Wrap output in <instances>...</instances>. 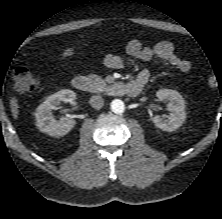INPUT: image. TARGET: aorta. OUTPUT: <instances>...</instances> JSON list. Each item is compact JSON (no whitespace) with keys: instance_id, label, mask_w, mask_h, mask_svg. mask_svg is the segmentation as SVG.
<instances>
[{"instance_id":"1","label":"aorta","mask_w":222,"mask_h":219,"mask_svg":"<svg viewBox=\"0 0 222 219\" xmlns=\"http://www.w3.org/2000/svg\"><path fill=\"white\" fill-rule=\"evenodd\" d=\"M125 105L122 100L115 99L111 102V110L116 114H121L124 112Z\"/></svg>"}]
</instances>
